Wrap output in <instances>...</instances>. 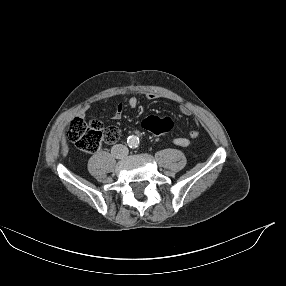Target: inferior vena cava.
I'll return each instance as SVG.
<instances>
[{"mask_svg":"<svg viewBox=\"0 0 286 286\" xmlns=\"http://www.w3.org/2000/svg\"><path fill=\"white\" fill-rule=\"evenodd\" d=\"M111 153L115 158L123 159L128 155L129 150L125 145L117 144L112 147Z\"/></svg>","mask_w":286,"mask_h":286,"instance_id":"obj_1","label":"inferior vena cava"}]
</instances>
